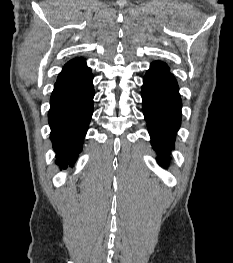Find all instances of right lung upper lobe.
<instances>
[{
	"label": "right lung upper lobe",
	"instance_id": "obj_1",
	"mask_svg": "<svg viewBox=\"0 0 233 263\" xmlns=\"http://www.w3.org/2000/svg\"><path fill=\"white\" fill-rule=\"evenodd\" d=\"M86 66V62L83 58H75L70 60L63 68V70L78 69Z\"/></svg>",
	"mask_w": 233,
	"mask_h": 263
}]
</instances>
